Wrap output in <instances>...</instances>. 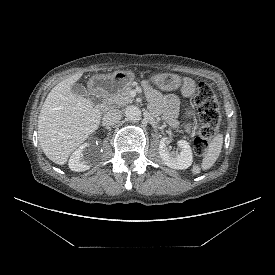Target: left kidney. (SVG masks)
Segmentation results:
<instances>
[{
    "label": "left kidney",
    "mask_w": 275,
    "mask_h": 275,
    "mask_svg": "<svg viewBox=\"0 0 275 275\" xmlns=\"http://www.w3.org/2000/svg\"><path fill=\"white\" fill-rule=\"evenodd\" d=\"M168 144V138L164 137L160 140L159 154L164 164L177 170H185L190 167L193 162V154L189 143L185 140H179L177 142L181 148L180 153L170 151Z\"/></svg>",
    "instance_id": "1"
}]
</instances>
